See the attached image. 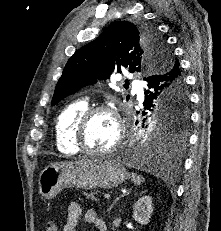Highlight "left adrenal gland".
I'll list each match as a JSON object with an SVG mask.
<instances>
[{
  "mask_svg": "<svg viewBox=\"0 0 221 231\" xmlns=\"http://www.w3.org/2000/svg\"><path fill=\"white\" fill-rule=\"evenodd\" d=\"M130 192H131V190H129L126 194H124V195H122V196L116 198V199L113 201V203L109 206V208H108L107 211L110 212V211L112 210V208L115 206V204L117 203V201L120 200L121 197H123V196H125V195H128Z\"/></svg>",
  "mask_w": 221,
  "mask_h": 231,
  "instance_id": "a2214340",
  "label": "left adrenal gland"
}]
</instances>
